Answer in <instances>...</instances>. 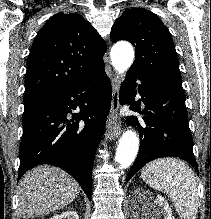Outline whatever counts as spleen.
Returning a JSON list of instances; mask_svg holds the SVG:
<instances>
[{"mask_svg":"<svg viewBox=\"0 0 211 219\" xmlns=\"http://www.w3.org/2000/svg\"><path fill=\"white\" fill-rule=\"evenodd\" d=\"M141 177L152 188L170 196L181 219H196L198 183L187 164L175 158L157 159L143 168Z\"/></svg>","mask_w":211,"mask_h":219,"instance_id":"3e777b00","label":"spleen"}]
</instances>
